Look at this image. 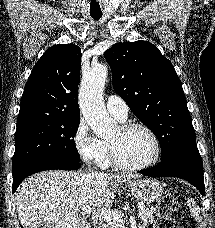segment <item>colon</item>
Here are the masks:
<instances>
[{
    "label": "colon",
    "instance_id": "1",
    "mask_svg": "<svg viewBox=\"0 0 215 228\" xmlns=\"http://www.w3.org/2000/svg\"><path fill=\"white\" fill-rule=\"evenodd\" d=\"M176 208V198L172 194L164 195L159 203L160 215L157 220V228H175V222L173 218L166 216L164 212H173Z\"/></svg>",
    "mask_w": 215,
    "mask_h": 228
}]
</instances>
